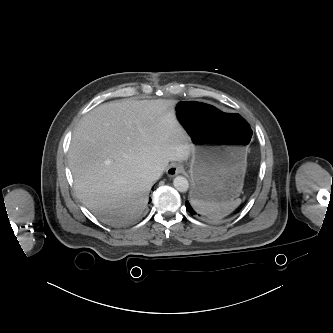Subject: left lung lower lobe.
Masks as SVG:
<instances>
[{
	"label": "left lung lower lobe",
	"instance_id": "obj_1",
	"mask_svg": "<svg viewBox=\"0 0 333 333\" xmlns=\"http://www.w3.org/2000/svg\"><path fill=\"white\" fill-rule=\"evenodd\" d=\"M186 208L189 211L190 214L194 215L195 211L192 209V207L190 206L189 202L186 201Z\"/></svg>",
	"mask_w": 333,
	"mask_h": 333
}]
</instances>
